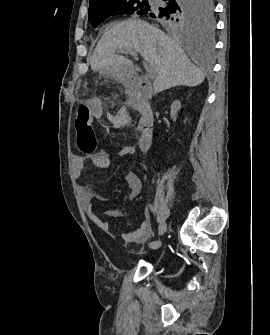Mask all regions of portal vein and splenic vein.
Masks as SVG:
<instances>
[{
	"label": "portal vein and splenic vein",
	"mask_w": 270,
	"mask_h": 335,
	"mask_svg": "<svg viewBox=\"0 0 270 335\" xmlns=\"http://www.w3.org/2000/svg\"><path fill=\"white\" fill-rule=\"evenodd\" d=\"M120 54H127V52H130L132 56H140V53L135 52V50H128L127 48H124L123 50H118ZM122 64H127V66H131V64H128L126 58L125 60H122ZM144 69L148 70L147 75L149 79V83H152V81L155 79L154 72L151 70L150 62H143Z\"/></svg>",
	"instance_id": "18ae733b"
}]
</instances>
